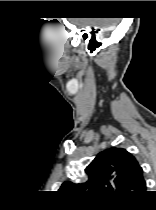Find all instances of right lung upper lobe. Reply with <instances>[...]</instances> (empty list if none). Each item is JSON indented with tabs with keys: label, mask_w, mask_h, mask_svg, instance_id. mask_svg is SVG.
Wrapping results in <instances>:
<instances>
[{
	"label": "right lung upper lobe",
	"mask_w": 156,
	"mask_h": 210,
	"mask_svg": "<svg viewBox=\"0 0 156 210\" xmlns=\"http://www.w3.org/2000/svg\"><path fill=\"white\" fill-rule=\"evenodd\" d=\"M85 173V182L66 181L60 190L75 192L84 199L131 201L146 189L142 168L123 148L112 147L100 152Z\"/></svg>",
	"instance_id": "right-lung-upper-lobe-1"
}]
</instances>
